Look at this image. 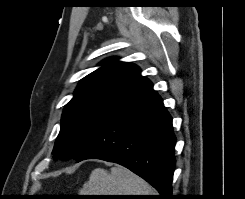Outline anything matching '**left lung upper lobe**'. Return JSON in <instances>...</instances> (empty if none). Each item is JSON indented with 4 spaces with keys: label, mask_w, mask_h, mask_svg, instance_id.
I'll use <instances>...</instances> for the list:
<instances>
[{
    "label": "left lung upper lobe",
    "mask_w": 245,
    "mask_h": 199,
    "mask_svg": "<svg viewBox=\"0 0 245 199\" xmlns=\"http://www.w3.org/2000/svg\"><path fill=\"white\" fill-rule=\"evenodd\" d=\"M117 60L106 59L80 81L64 108L53 154L77 159L107 122L151 86L138 66Z\"/></svg>",
    "instance_id": "left-lung-upper-lobe-1"
}]
</instances>
